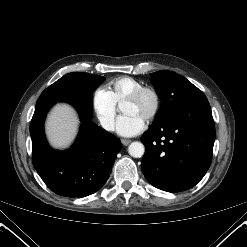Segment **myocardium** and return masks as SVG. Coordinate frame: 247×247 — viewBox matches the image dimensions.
Segmentation results:
<instances>
[{
  "label": "myocardium",
  "instance_id": "1",
  "mask_svg": "<svg viewBox=\"0 0 247 247\" xmlns=\"http://www.w3.org/2000/svg\"><path fill=\"white\" fill-rule=\"evenodd\" d=\"M149 94L153 98V107L148 116L146 117V121H152L156 118L160 111L161 107V97L159 92L150 86H143L132 92L124 101V103L128 102H136L140 100L144 95Z\"/></svg>",
  "mask_w": 247,
  "mask_h": 247
}]
</instances>
